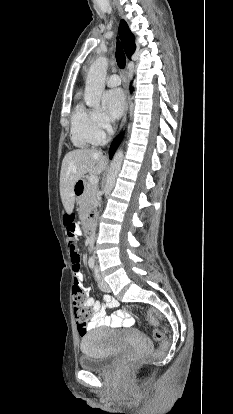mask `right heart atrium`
I'll use <instances>...</instances> for the list:
<instances>
[{"instance_id":"1","label":"right heart atrium","mask_w":233,"mask_h":414,"mask_svg":"<svg viewBox=\"0 0 233 414\" xmlns=\"http://www.w3.org/2000/svg\"><path fill=\"white\" fill-rule=\"evenodd\" d=\"M94 122L98 138L102 142L112 129V120L103 112H94Z\"/></svg>"}]
</instances>
